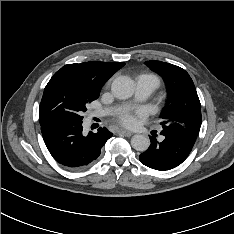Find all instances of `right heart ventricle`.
I'll return each instance as SVG.
<instances>
[{"instance_id":"right-heart-ventricle-1","label":"right heart ventricle","mask_w":234,"mask_h":234,"mask_svg":"<svg viewBox=\"0 0 234 234\" xmlns=\"http://www.w3.org/2000/svg\"><path fill=\"white\" fill-rule=\"evenodd\" d=\"M142 76H145V77L151 78V79L155 82L156 87H158V86H159L160 81H159V78H158L157 76H155V75H153V74H144V75H142ZM142 76H141V77H142Z\"/></svg>"}]
</instances>
